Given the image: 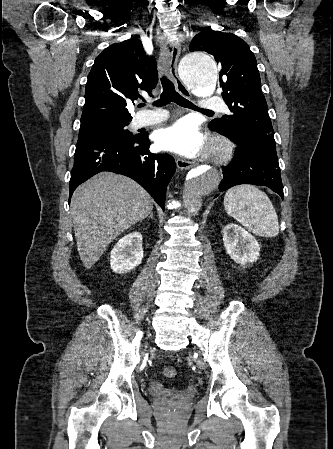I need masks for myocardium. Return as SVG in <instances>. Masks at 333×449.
<instances>
[{"mask_svg":"<svg viewBox=\"0 0 333 449\" xmlns=\"http://www.w3.org/2000/svg\"><path fill=\"white\" fill-rule=\"evenodd\" d=\"M233 146L228 142H218L211 152V158L215 163L222 164L230 160Z\"/></svg>","mask_w":333,"mask_h":449,"instance_id":"myocardium-1","label":"myocardium"}]
</instances>
